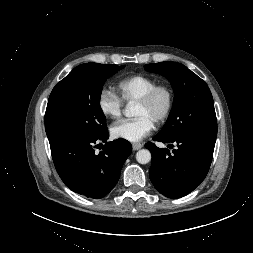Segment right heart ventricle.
<instances>
[{
  "instance_id": "obj_1",
  "label": "right heart ventricle",
  "mask_w": 253,
  "mask_h": 253,
  "mask_svg": "<svg viewBox=\"0 0 253 253\" xmlns=\"http://www.w3.org/2000/svg\"><path fill=\"white\" fill-rule=\"evenodd\" d=\"M157 82V79L143 74L126 77L117 84L119 97L124 102L137 101Z\"/></svg>"
}]
</instances>
